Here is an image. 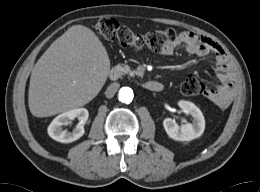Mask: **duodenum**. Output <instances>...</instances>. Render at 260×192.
I'll return each instance as SVG.
<instances>
[{
  "mask_svg": "<svg viewBox=\"0 0 260 192\" xmlns=\"http://www.w3.org/2000/svg\"><path fill=\"white\" fill-rule=\"evenodd\" d=\"M109 77L113 81L117 80L119 77V70L116 68L111 69L109 72ZM143 87L146 90L151 91V92H159L163 89V85L160 82L155 81V80H150V81L143 83Z\"/></svg>",
  "mask_w": 260,
  "mask_h": 192,
  "instance_id": "obj_1",
  "label": "duodenum"
}]
</instances>
